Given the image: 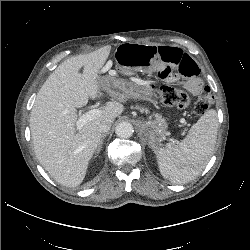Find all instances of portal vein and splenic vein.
Wrapping results in <instances>:
<instances>
[{
    "label": "portal vein and splenic vein",
    "instance_id": "obj_1",
    "mask_svg": "<svg viewBox=\"0 0 250 250\" xmlns=\"http://www.w3.org/2000/svg\"><path fill=\"white\" fill-rule=\"evenodd\" d=\"M101 111L99 109H91L85 114L81 115L78 120L76 121V128L78 130L82 129L85 124L89 121L94 120L98 116H100Z\"/></svg>",
    "mask_w": 250,
    "mask_h": 250
}]
</instances>
